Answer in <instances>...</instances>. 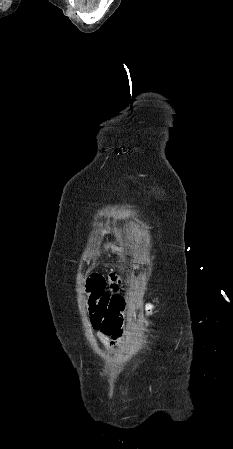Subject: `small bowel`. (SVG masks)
<instances>
[{"instance_id":"1","label":"small bowel","mask_w":233,"mask_h":449,"mask_svg":"<svg viewBox=\"0 0 233 449\" xmlns=\"http://www.w3.org/2000/svg\"><path fill=\"white\" fill-rule=\"evenodd\" d=\"M110 277V286L106 289L108 294H111L113 291H120L122 289V281L121 276L118 274L116 270H111L109 272ZM122 297V296H121ZM91 322V318H90ZM93 327V323L91 322ZM97 332V337L99 341L106 347H114L119 344V341L122 336V328H94Z\"/></svg>"}]
</instances>
